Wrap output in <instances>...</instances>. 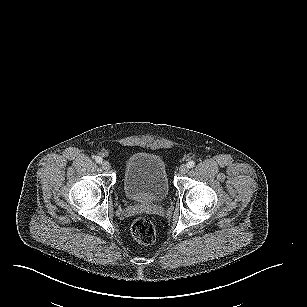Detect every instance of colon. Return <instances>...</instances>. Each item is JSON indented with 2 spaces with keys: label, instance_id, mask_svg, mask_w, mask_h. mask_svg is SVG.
I'll list each match as a JSON object with an SVG mask.
<instances>
[{
  "label": "colon",
  "instance_id": "obj_1",
  "mask_svg": "<svg viewBox=\"0 0 307 307\" xmlns=\"http://www.w3.org/2000/svg\"><path fill=\"white\" fill-rule=\"evenodd\" d=\"M133 238L143 244L151 245L156 240V230L152 221L146 218L136 219L131 226Z\"/></svg>",
  "mask_w": 307,
  "mask_h": 307
}]
</instances>
